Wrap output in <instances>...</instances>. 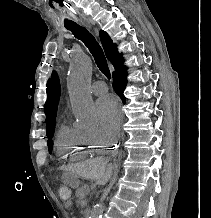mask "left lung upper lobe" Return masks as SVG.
Wrapping results in <instances>:
<instances>
[{
  "label": "left lung upper lobe",
  "instance_id": "5c2ea615",
  "mask_svg": "<svg viewBox=\"0 0 211 218\" xmlns=\"http://www.w3.org/2000/svg\"><path fill=\"white\" fill-rule=\"evenodd\" d=\"M49 85H50V81H48V83H47V93H49ZM45 113H47V111H48V107H47V105H45Z\"/></svg>",
  "mask_w": 211,
  "mask_h": 218
}]
</instances>
